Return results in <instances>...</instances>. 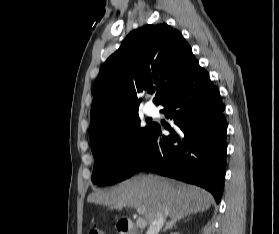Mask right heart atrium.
I'll list each match as a JSON object with an SVG mask.
<instances>
[{
    "label": "right heart atrium",
    "mask_w": 279,
    "mask_h": 234,
    "mask_svg": "<svg viewBox=\"0 0 279 234\" xmlns=\"http://www.w3.org/2000/svg\"><path fill=\"white\" fill-rule=\"evenodd\" d=\"M127 148H130V145H129V144H127Z\"/></svg>",
    "instance_id": "obj_1"
}]
</instances>
